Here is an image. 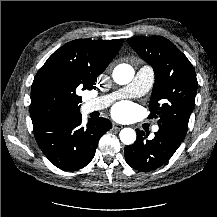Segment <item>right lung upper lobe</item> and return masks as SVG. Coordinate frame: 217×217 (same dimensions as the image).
<instances>
[{
  "mask_svg": "<svg viewBox=\"0 0 217 217\" xmlns=\"http://www.w3.org/2000/svg\"><path fill=\"white\" fill-rule=\"evenodd\" d=\"M124 40L77 39L55 51L41 67L34 80L57 74L83 89L96 88L97 77L106 69Z\"/></svg>",
  "mask_w": 217,
  "mask_h": 217,
  "instance_id": "cb5924a9",
  "label": "right lung upper lobe"
}]
</instances>
